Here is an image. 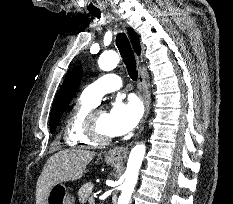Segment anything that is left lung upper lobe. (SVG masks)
Segmentation results:
<instances>
[{"label": "left lung upper lobe", "mask_w": 233, "mask_h": 204, "mask_svg": "<svg viewBox=\"0 0 233 204\" xmlns=\"http://www.w3.org/2000/svg\"><path fill=\"white\" fill-rule=\"evenodd\" d=\"M82 78V67H75L64 80L53 103L50 114V131L53 133L60 121V118L73 99Z\"/></svg>", "instance_id": "obj_1"}]
</instances>
